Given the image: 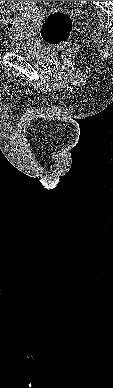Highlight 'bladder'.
Segmentation results:
<instances>
[{
  "label": "bladder",
  "instance_id": "bladder-1",
  "mask_svg": "<svg viewBox=\"0 0 113 388\" xmlns=\"http://www.w3.org/2000/svg\"><path fill=\"white\" fill-rule=\"evenodd\" d=\"M32 17L23 22L17 21L15 25L16 32L12 35L15 42L8 44L7 49L26 58L39 60L43 59L50 52L51 47L30 38L40 24L38 15Z\"/></svg>",
  "mask_w": 113,
  "mask_h": 388
}]
</instances>
